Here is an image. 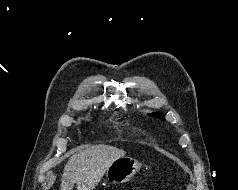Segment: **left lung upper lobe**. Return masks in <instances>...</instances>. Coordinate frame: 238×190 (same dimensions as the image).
<instances>
[{"label":"left lung upper lobe","mask_w":238,"mask_h":190,"mask_svg":"<svg viewBox=\"0 0 238 190\" xmlns=\"http://www.w3.org/2000/svg\"><path fill=\"white\" fill-rule=\"evenodd\" d=\"M150 115L153 116V117H157V118H159L161 120H165L164 115L162 113H160V112L152 113Z\"/></svg>","instance_id":"left-lung-upper-lobe-1"}]
</instances>
